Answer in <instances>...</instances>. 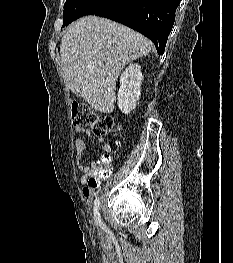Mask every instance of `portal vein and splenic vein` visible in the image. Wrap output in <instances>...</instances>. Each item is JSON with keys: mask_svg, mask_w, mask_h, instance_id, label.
I'll list each match as a JSON object with an SVG mask.
<instances>
[{"mask_svg": "<svg viewBox=\"0 0 233 263\" xmlns=\"http://www.w3.org/2000/svg\"><path fill=\"white\" fill-rule=\"evenodd\" d=\"M88 66H93V64H92V63H89Z\"/></svg>", "mask_w": 233, "mask_h": 263, "instance_id": "portal-vein-and-splenic-vein-1", "label": "portal vein and splenic vein"}]
</instances>
